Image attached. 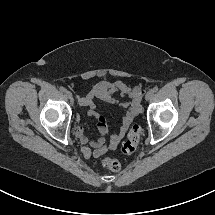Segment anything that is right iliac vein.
Wrapping results in <instances>:
<instances>
[{"instance_id":"obj_1","label":"right iliac vein","mask_w":215,"mask_h":215,"mask_svg":"<svg viewBox=\"0 0 215 215\" xmlns=\"http://www.w3.org/2000/svg\"><path fill=\"white\" fill-rule=\"evenodd\" d=\"M65 95H66V97L69 98V99H72V98H73V95H72V93H71L70 91H65Z\"/></svg>"}]
</instances>
